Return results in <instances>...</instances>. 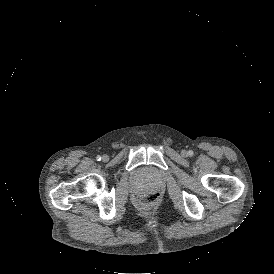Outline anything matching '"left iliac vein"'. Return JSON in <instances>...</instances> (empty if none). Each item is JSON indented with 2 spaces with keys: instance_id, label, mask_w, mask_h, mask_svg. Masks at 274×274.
<instances>
[{
  "instance_id": "left-iliac-vein-1",
  "label": "left iliac vein",
  "mask_w": 274,
  "mask_h": 274,
  "mask_svg": "<svg viewBox=\"0 0 274 274\" xmlns=\"http://www.w3.org/2000/svg\"><path fill=\"white\" fill-rule=\"evenodd\" d=\"M181 154H182L183 156H185V155L187 154V151H186V150H183V151L181 152Z\"/></svg>"
}]
</instances>
